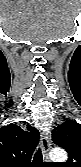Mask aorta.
<instances>
[{"label": "aorta", "mask_w": 81, "mask_h": 167, "mask_svg": "<svg viewBox=\"0 0 81 167\" xmlns=\"http://www.w3.org/2000/svg\"><path fill=\"white\" fill-rule=\"evenodd\" d=\"M50 159L54 162H65L67 153L61 148H55L50 152Z\"/></svg>", "instance_id": "aorta-1"}]
</instances>
